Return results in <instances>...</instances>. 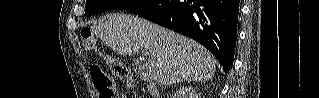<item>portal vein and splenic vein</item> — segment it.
Segmentation results:
<instances>
[{
  "label": "portal vein and splenic vein",
  "mask_w": 319,
  "mask_h": 98,
  "mask_svg": "<svg viewBox=\"0 0 319 98\" xmlns=\"http://www.w3.org/2000/svg\"><path fill=\"white\" fill-rule=\"evenodd\" d=\"M143 55H144V56H148V55H149V52L146 51V50H143Z\"/></svg>",
  "instance_id": "obj_1"
}]
</instances>
